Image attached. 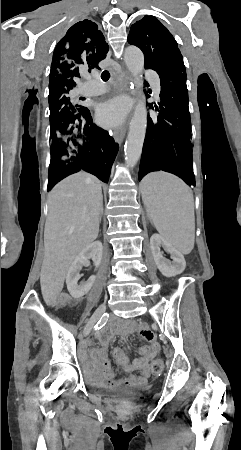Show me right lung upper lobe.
I'll return each instance as SVG.
<instances>
[{
    "label": "right lung upper lobe",
    "instance_id": "1",
    "mask_svg": "<svg viewBox=\"0 0 241 450\" xmlns=\"http://www.w3.org/2000/svg\"><path fill=\"white\" fill-rule=\"evenodd\" d=\"M108 44L97 24L83 20L74 24L57 44L49 76V101L67 97L82 73L100 69Z\"/></svg>",
    "mask_w": 241,
    "mask_h": 450
}]
</instances>
